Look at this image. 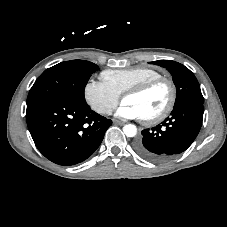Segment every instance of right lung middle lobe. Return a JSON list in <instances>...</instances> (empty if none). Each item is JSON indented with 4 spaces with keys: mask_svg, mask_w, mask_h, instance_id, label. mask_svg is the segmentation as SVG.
Instances as JSON below:
<instances>
[{
    "mask_svg": "<svg viewBox=\"0 0 227 227\" xmlns=\"http://www.w3.org/2000/svg\"><path fill=\"white\" fill-rule=\"evenodd\" d=\"M99 67L89 61L61 62L45 70L29 91L27 102L41 97H54L84 102L82 87Z\"/></svg>",
    "mask_w": 227,
    "mask_h": 227,
    "instance_id": "dd1d6c3e",
    "label": "right lung middle lobe"
}]
</instances>
